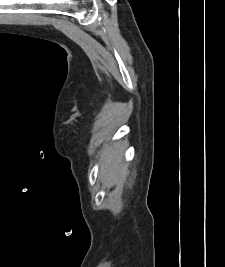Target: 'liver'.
<instances>
[{"mask_svg":"<svg viewBox=\"0 0 225 267\" xmlns=\"http://www.w3.org/2000/svg\"><path fill=\"white\" fill-rule=\"evenodd\" d=\"M125 144L118 142L113 145L105 154L100 167L99 176L102 183L109 186H114L118 182L125 180L128 175V167L123 163V154Z\"/></svg>","mask_w":225,"mask_h":267,"instance_id":"liver-1","label":"liver"}]
</instances>
